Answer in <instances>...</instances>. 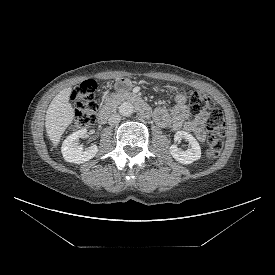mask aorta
Segmentation results:
<instances>
[{
    "mask_svg": "<svg viewBox=\"0 0 275 275\" xmlns=\"http://www.w3.org/2000/svg\"><path fill=\"white\" fill-rule=\"evenodd\" d=\"M134 111V106L130 102H123L119 106V113L122 116H131Z\"/></svg>",
    "mask_w": 275,
    "mask_h": 275,
    "instance_id": "1",
    "label": "aorta"
}]
</instances>
